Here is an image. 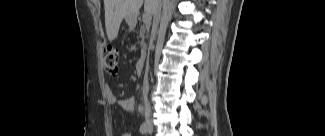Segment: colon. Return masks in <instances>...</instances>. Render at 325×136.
Segmentation results:
<instances>
[{
	"label": "colon",
	"instance_id": "obj_1",
	"mask_svg": "<svg viewBox=\"0 0 325 136\" xmlns=\"http://www.w3.org/2000/svg\"><path fill=\"white\" fill-rule=\"evenodd\" d=\"M103 65L107 73L115 74L118 71L119 52L112 45L103 47Z\"/></svg>",
	"mask_w": 325,
	"mask_h": 136
}]
</instances>
